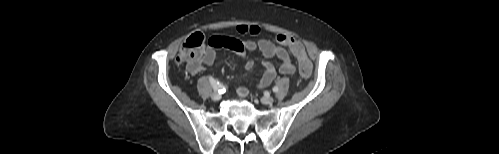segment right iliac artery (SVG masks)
<instances>
[{
	"mask_svg": "<svg viewBox=\"0 0 499 154\" xmlns=\"http://www.w3.org/2000/svg\"><path fill=\"white\" fill-rule=\"evenodd\" d=\"M209 81L214 89V91L219 92V93H225L226 87L221 84L219 81L215 80L213 77H209Z\"/></svg>",
	"mask_w": 499,
	"mask_h": 154,
	"instance_id": "82829eb1",
	"label": "right iliac artery"
}]
</instances>
